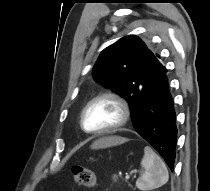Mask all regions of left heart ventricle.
<instances>
[{"mask_svg":"<svg viewBox=\"0 0 210 191\" xmlns=\"http://www.w3.org/2000/svg\"><path fill=\"white\" fill-rule=\"evenodd\" d=\"M120 117L121 112L117 104L110 100H100L87 109L84 123L88 130H98L114 125Z\"/></svg>","mask_w":210,"mask_h":191,"instance_id":"1","label":"left heart ventricle"}]
</instances>
